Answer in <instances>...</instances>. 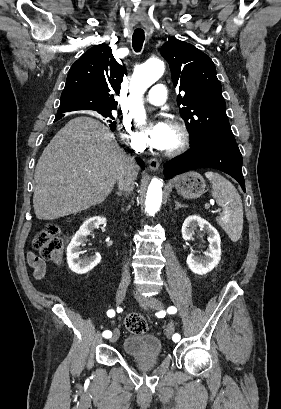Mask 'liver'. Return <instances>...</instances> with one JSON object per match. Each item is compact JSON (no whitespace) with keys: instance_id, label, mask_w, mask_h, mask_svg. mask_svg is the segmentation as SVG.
Masks as SVG:
<instances>
[{"instance_id":"1","label":"liver","mask_w":281,"mask_h":409,"mask_svg":"<svg viewBox=\"0 0 281 409\" xmlns=\"http://www.w3.org/2000/svg\"><path fill=\"white\" fill-rule=\"evenodd\" d=\"M131 158L108 126L76 116L58 130L35 168L33 207L37 219H59L99 205L110 194Z\"/></svg>"}]
</instances>
